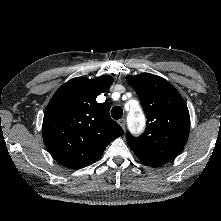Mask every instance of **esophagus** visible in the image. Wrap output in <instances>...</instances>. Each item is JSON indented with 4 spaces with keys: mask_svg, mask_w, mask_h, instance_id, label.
<instances>
[{
    "mask_svg": "<svg viewBox=\"0 0 221 221\" xmlns=\"http://www.w3.org/2000/svg\"><path fill=\"white\" fill-rule=\"evenodd\" d=\"M119 124H120V126H121L123 129H125L126 122H125V119H124V118H122V119L119 120Z\"/></svg>",
    "mask_w": 221,
    "mask_h": 221,
    "instance_id": "esophagus-1",
    "label": "esophagus"
}]
</instances>
